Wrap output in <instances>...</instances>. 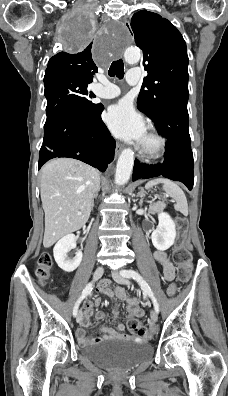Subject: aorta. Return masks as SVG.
<instances>
[{
  "label": "aorta",
  "mask_w": 228,
  "mask_h": 396,
  "mask_svg": "<svg viewBox=\"0 0 228 396\" xmlns=\"http://www.w3.org/2000/svg\"><path fill=\"white\" fill-rule=\"evenodd\" d=\"M124 58L128 64H136L141 59V53L139 49L127 48L124 52ZM134 165V152L132 149H124L117 161L115 183L116 185H124L129 179L133 170Z\"/></svg>",
  "instance_id": "762f6f07"
}]
</instances>
